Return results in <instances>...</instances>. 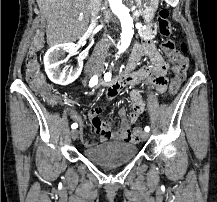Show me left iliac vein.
<instances>
[{"instance_id":"obj_1","label":"left iliac vein","mask_w":217,"mask_h":202,"mask_svg":"<svg viewBox=\"0 0 217 202\" xmlns=\"http://www.w3.org/2000/svg\"><path fill=\"white\" fill-rule=\"evenodd\" d=\"M139 136L142 140H147L149 137V134L147 132H141Z\"/></svg>"}]
</instances>
